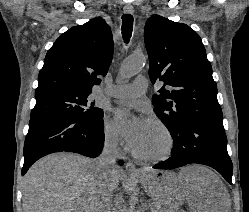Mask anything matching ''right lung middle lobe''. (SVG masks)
Returning <instances> with one entry per match:
<instances>
[{
	"label": "right lung middle lobe",
	"instance_id": "obj_1",
	"mask_svg": "<svg viewBox=\"0 0 249 212\" xmlns=\"http://www.w3.org/2000/svg\"><path fill=\"white\" fill-rule=\"evenodd\" d=\"M90 92L54 91L35 95L36 105L30 118L35 116L62 114L82 120H100L103 110L94 107L95 103L88 100Z\"/></svg>",
	"mask_w": 249,
	"mask_h": 212
}]
</instances>
